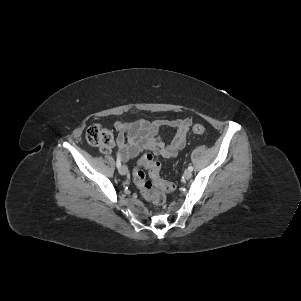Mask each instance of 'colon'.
<instances>
[{
  "mask_svg": "<svg viewBox=\"0 0 301 301\" xmlns=\"http://www.w3.org/2000/svg\"><path fill=\"white\" fill-rule=\"evenodd\" d=\"M192 131L195 134H203L205 127L201 124H195L192 127ZM85 136L89 144L100 148L104 152H107L113 143L112 132L100 125L88 127ZM143 168L147 169L149 180L146 179ZM160 172L161 164L151 154L144 155L133 171L134 183L140 189L144 198L154 205H161L165 202V196L161 191H172L175 189L174 184L165 181L161 177Z\"/></svg>",
  "mask_w": 301,
  "mask_h": 301,
  "instance_id": "obj_1",
  "label": "colon"
}]
</instances>
